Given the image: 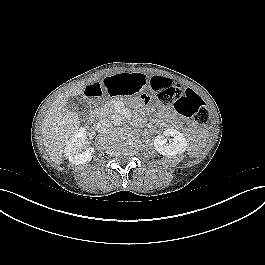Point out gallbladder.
I'll list each match as a JSON object with an SVG mask.
<instances>
[{"label": "gallbladder", "mask_w": 265, "mask_h": 265, "mask_svg": "<svg viewBox=\"0 0 265 265\" xmlns=\"http://www.w3.org/2000/svg\"><path fill=\"white\" fill-rule=\"evenodd\" d=\"M67 108L75 112L79 119L86 120L89 117L90 107L88 100L82 96H71L67 99Z\"/></svg>", "instance_id": "obj_1"}]
</instances>
